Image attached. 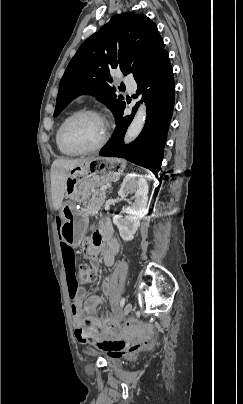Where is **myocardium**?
<instances>
[{"mask_svg": "<svg viewBox=\"0 0 243 404\" xmlns=\"http://www.w3.org/2000/svg\"><path fill=\"white\" fill-rule=\"evenodd\" d=\"M86 115L95 116V117L103 120L102 115L98 111L90 109V108H83V109L77 110V111L71 113L69 116H67L60 127L61 142L68 148L73 149L79 153L95 152V151L101 149L107 143V141L109 139V134H108V131L106 128H105V132H104V135H103V138L101 139V141L92 147H82L67 139V137L65 135V131H66L67 127L69 126V124L72 121H74L75 119L82 117V116H86Z\"/></svg>", "mask_w": 243, "mask_h": 404, "instance_id": "f54148a6", "label": "myocardium"}]
</instances>
